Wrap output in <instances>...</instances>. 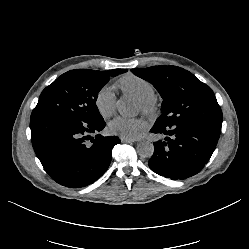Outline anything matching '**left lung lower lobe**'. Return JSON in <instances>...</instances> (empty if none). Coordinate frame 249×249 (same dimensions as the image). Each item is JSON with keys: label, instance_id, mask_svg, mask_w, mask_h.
Returning a JSON list of instances; mask_svg holds the SVG:
<instances>
[{"label": "left lung lower lobe", "instance_id": "0a47b994", "mask_svg": "<svg viewBox=\"0 0 249 249\" xmlns=\"http://www.w3.org/2000/svg\"><path fill=\"white\" fill-rule=\"evenodd\" d=\"M220 121H183L172 126L154 124L152 133L165 134L154 142L149 167L173 180L185 179L200 172L215 150L221 133Z\"/></svg>", "mask_w": 249, "mask_h": 249}]
</instances>
